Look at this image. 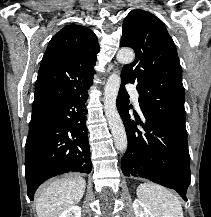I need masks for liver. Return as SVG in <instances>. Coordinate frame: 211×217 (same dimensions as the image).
Listing matches in <instances>:
<instances>
[{
    "label": "liver",
    "mask_w": 211,
    "mask_h": 217,
    "mask_svg": "<svg viewBox=\"0 0 211 217\" xmlns=\"http://www.w3.org/2000/svg\"><path fill=\"white\" fill-rule=\"evenodd\" d=\"M86 182L81 176H66L42 187L36 200L38 217H59L79 203L85 192Z\"/></svg>",
    "instance_id": "obj_1"
}]
</instances>
